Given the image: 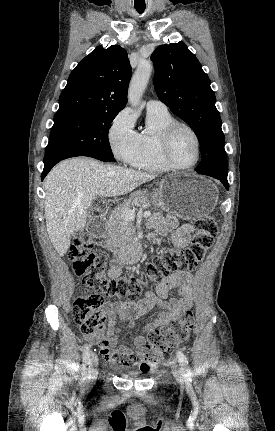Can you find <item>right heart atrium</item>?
I'll return each instance as SVG.
<instances>
[{"mask_svg": "<svg viewBox=\"0 0 275 431\" xmlns=\"http://www.w3.org/2000/svg\"><path fill=\"white\" fill-rule=\"evenodd\" d=\"M108 141L114 156L126 164H132L140 149L139 133L133 116L127 109L116 114L108 129Z\"/></svg>", "mask_w": 275, "mask_h": 431, "instance_id": "d8ad5b80", "label": "right heart atrium"}]
</instances>
